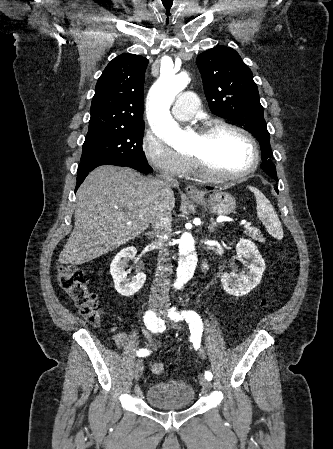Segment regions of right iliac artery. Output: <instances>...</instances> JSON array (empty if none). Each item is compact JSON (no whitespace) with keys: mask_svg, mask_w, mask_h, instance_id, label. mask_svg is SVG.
<instances>
[{"mask_svg":"<svg viewBox=\"0 0 333 449\" xmlns=\"http://www.w3.org/2000/svg\"><path fill=\"white\" fill-rule=\"evenodd\" d=\"M144 322L148 330L153 333L162 332L164 330V321L160 318H157L156 314L153 311H147L144 316ZM137 356L143 357L148 356L150 351L147 349H139L137 351Z\"/></svg>","mask_w":333,"mask_h":449,"instance_id":"right-iliac-artery-1","label":"right iliac artery"}]
</instances>
